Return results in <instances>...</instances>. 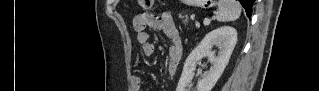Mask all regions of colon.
<instances>
[{
	"mask_svg": "<svg viewBox=\"0 0 319 91\" xmlns=\"http://www.w3.org/2000/svg\"><path fill=\"white\" fill-rule=\"evenodd\" d=\"M140 3H141V6L144 9H150L153 6V4L155 3V1H153V0H141Z\"/></svg>",
	"mask_w": 319,
	"mask_h": 91,
	"instance_id": "5ec220e1",
	"label": "colon"
}]
</instances>
